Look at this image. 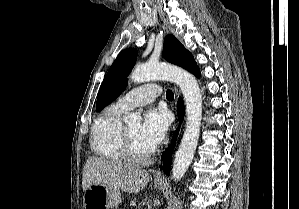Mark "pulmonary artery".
Wrapping results in <instances>:
<instances>
[{
	"mask_svg": "<svg viewBox=\"0 0 299 209\" xmlns=\"http://www.w3.org/2000/svg\"><path fill=\"white\" fill-rule=\"evenodd\" d=\"M160 94V86L150 83L130 90L117 100L116 105L123 111H129L135 107L152 103Z\"/></svg>",
	"mask_w": 299,
	"mask_h": 209,
	"instance_id": "e3ab8cb5",
	"label": "pulmonary artery"
}]
</instances>
